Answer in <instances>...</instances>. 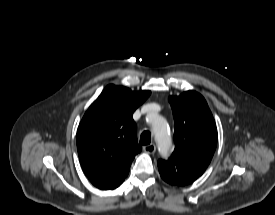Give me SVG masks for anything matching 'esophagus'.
<instances>
[{
  "label": "esophagus",
  "instance_id": "1",
  "mask_svg": "<svg viewBox=\"0 0 275 215\" xmlns=\"http://www.w3.org/2000/svg\"><path fill=\"white\" fill-rule=\"evenodd\" d=\"M143 151L148 154H153L156 151V146L154 144H149L143 147Z\"/></svg>",
  "mask_w": 275,
  "mask_h": 215
}]
</instances>
